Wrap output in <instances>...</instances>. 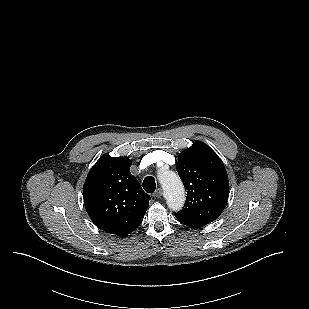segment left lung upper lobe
Returning <instances> with one entry per match:
<instances>
[{"instance_id": "obj_1", "label": "left lung upper lobe", "mask_w": 309, "mask_h": 309, "mask_svg": "<svg viewBox=\"0 0 309 309\" xmlns=\"http://www.w3.org/2000/svg\"><path fill=\"white\" fill-rule=\"evenodd\" d=\"M177 171L187 197L176 218L197 227L214 221L229 195L228 175L220 158L205 143L195 142L179 155Z\"/></svg>"}]
</instances>
